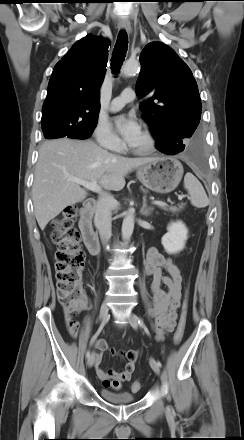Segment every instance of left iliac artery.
Returning a JSON list of instances; mask_svg holds the SVG:
<instances>
[{
  "label": "left iliac artery",
  "mask_w": 244,
  "mask_h": 440,
  "mask_svg": "<svg viewBox=\"0 0 244 440\" xmlns=\"http://www.w3.org/2000/svg\"><path fill=\"white\" fill-rule=\"evenodd\" d=\"M138 323L144 328L145 331H148L147 327L145 326L144 321L141 317L138 319ZM156 364L158 365V367L162 366L160 361H157Z\"/></svg>",
  "instance_id": "obj_1"
}]
</instances>
